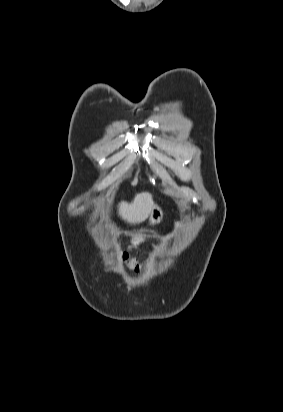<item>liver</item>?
<instances>
[{"label": "liver", "instance_id": "6515ba94", "mask_svg": "<svg viewBox=\"0 0 283 412\" xmlns=\"http://www.w3.org/2000/svg\"><path fill=\"white\" fill-rule=\"evenodd\" d=\"M154 207L152 196L148 192L136 194L131 203L122 201L118 205V214L130 224H139L145 221Z\"/></svg>", "mask_w": 283, "mask_h": 412}]
</instances>
